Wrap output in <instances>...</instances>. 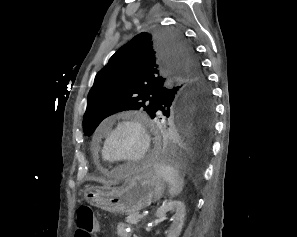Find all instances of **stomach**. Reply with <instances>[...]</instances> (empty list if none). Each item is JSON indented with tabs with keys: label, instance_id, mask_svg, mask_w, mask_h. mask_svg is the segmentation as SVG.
<instances>
[{
	"label": "stomach",
	"instance_id": "1",
	"mask_svg": "<svg viewBox=\"0 0 297 237\" xmlns=\"http://www.w3.org/2000/svg\"><path fill=\"white\" fill-rule=\"evenodd\" d=\"M165 183L154 170L128 179L121 187H94L85 190L84 198L90 204L114 214H133L159 200Z\"/></svg>",
	"mask_w": 297,
	"mask_h": 237
}]
</instances>
